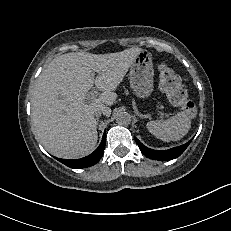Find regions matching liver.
I'll use <instances>...</instances> for the list:
<instances>
[{
  "instance_id": "liver-1",
  "label": "liver",
  "mask_w": 231,
  "mask_h": 231,
  "mask_svg": "<svg viewBox=\"0 0 231 231\" xmlns=\"http://www.w3.org/2000/svg\"><path fill=\"white\" fill-rule=\"evenodd\" d=\"M142 51L132 47L121 52L92 54L71 52L55 57L39 75L31 98L35 135L54 156L73 159L90 154L97 144L94 112L105 107L110 116L117 98L114 92ZM92 72H97L96 78ZM95 84L102 93L88 100Z\"/></svg>"
}]
</instances>
